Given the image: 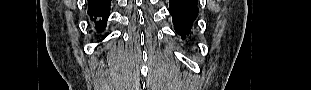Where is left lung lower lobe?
<instances>
[{"instance_id": "obj_1", "label": "left lung lower lobe", "mask_w": 311, "mask_h": 90, "mask_svg": "<svg viewBox=\"0 0 311 90\" xmlns=\"http://www.w3.org/2000/svg\"><path fill=\"white\" fill-rule=\"evenodd\" d=\"M169 12L177 34L184 40L197 16V0H169Z\"/></svg>"}]
</instances>
